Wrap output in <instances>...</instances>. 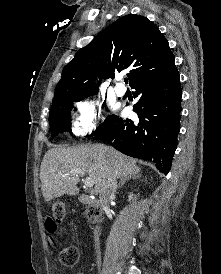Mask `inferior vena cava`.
I'll return each mask as SVG.
<instances>
[{
	"mask_svg": "<svg viewBox=\"0 0 221 274\" xmlns=\"http://www.w3.org/2000/svg\"><path fill=\"white\" fill-rule=\"evenodd\" d=\"M117 189V181L116 176L114 173H110L106 185L103 187V189L100 192V203L101 207H106L108 204V200L114 196Z\"/></svg>",
	"mask_w": 221,
	"mask_h": 274,
	"instance_id": "1",
	"label": "inferior vena cava"
}]
</instances>
